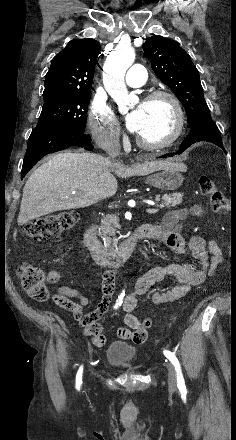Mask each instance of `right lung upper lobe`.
<instances>
[{
    "mask_svg": "<svg viewBox=\"0 0 236 440\" xmlns=\"http://www.w3.org/2000/svg\"><path fill=\"white\" fill-rule=\"evenodd\" d=\"M100 54L94 39L71 40L51 62L45 77L44 103L91 93L92 80Z\"/></svg>",
    "mask_w": 236,
    "mask_h": 440,
    "instance_id": "right-lung-upper-lobe-1",
    "label": "right lung upper lobe"
}]
</instances>
